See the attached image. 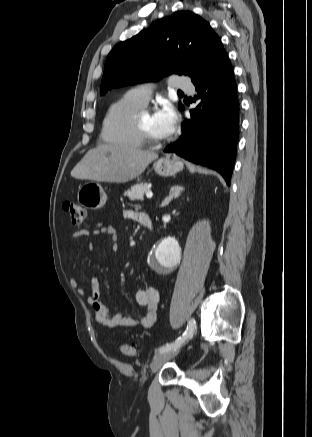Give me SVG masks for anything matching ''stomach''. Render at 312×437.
<instances>
[{
    "label": "stomach",
    "mask_w": 312,
    "mask_h": 437,
    "mask_svg": "<svg viewBox=\"0 0 312 437\" xmlns=\"http://www.w3.org/2000/svg\"><path fill=\"white\" fill-rule=\"evenodd\" d=\"M153 168L159 176H174L183 170V162L176 156L166 155L154 162ZM78 202L87 209L98 210L107 201V194L102 186L94 181L83 184L77 194Z\"/></svg>",
    "instance_id": "0dacf381"
}]
</instances>
